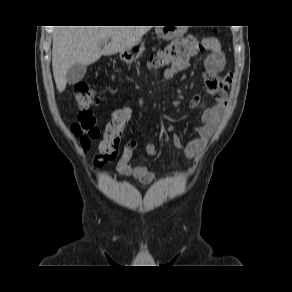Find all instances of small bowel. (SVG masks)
<instances>
[{
	"instance_id": "small-bowel-1",
	"label": "small bowel",
	"mask_w": 292,
	"mask_h": 292,
	"mask_svg": "<svg viewBox=\"0 0 292 292\" xmlns=\"http://www.w3.org/2000/svg\"><path fill=\"white\" fill-rule=\"evenodd\" d=\"M204 47L210 51V54L205 59L206 93L215 100V103L212 107L203 111V125L197 128V134L194 138L182 144L178 137H174V145L186 157H192L201 152L214 134L226 107L227 90L231 82L230 74L222 78L218 76L225 64L224 53L220 43L214 38H208L204 41ZM187 68V61L176 63L165 69L162 80H171ZM200 105L201 97L194 96L190 101L191 108H198ZM136 148L137 143L134 140H130L125 144L123 154L117 162V172L125 177H133L142 184H149L155 179V174L141 163L132 161Z\"/></svg>"
}]
</instances>
